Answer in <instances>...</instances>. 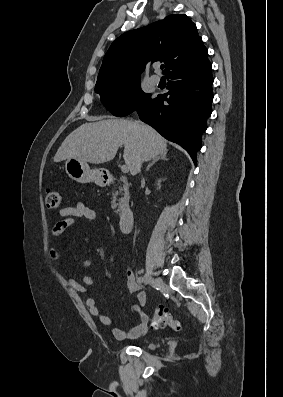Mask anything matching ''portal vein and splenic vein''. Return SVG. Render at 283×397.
<instances>
[{
    "label": "portal vein and splenic vein",
    "instance_id": "18ae733b",
    "mask_svg": "<svg viewBox=\"0 0 283 397\" xmlns=\"http://www.w3.org/2000/svg\"><path fill=\"white\" fill-rule=\"evenodd\" d=\"M121 171L123 172V173H127L128 171H129V168H128V166L125 164V165H122L121 166Z\"/></svg>",
    "mask_w": 283,
    "mask_h": 397
}]
</instances>
